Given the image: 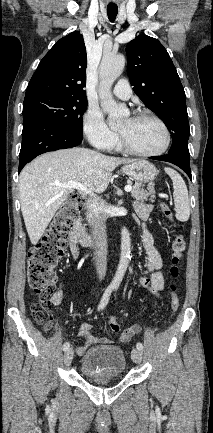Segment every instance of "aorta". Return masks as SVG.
<instances>
[{
  "label": "aorta",
  "mask_w": 213,
  "mask_h": 433,
  "mask_svg": "<svg viewBox=\"0 0 213 433\" xmlns=\"http://www.w3.org/2000/svg\"><path fill=\"white\" fill-rule=\"evenodd\" d=\"M125 66L123 55H107L102 58L100 72V103L104 112L108 114L109 125L115 127L126 114V109L118 105L111 94L114 81L121 75ZM131 255V240L128 230H121V254L117 271L111 282V287L118 288L127 270Z\"/></svg>",
  "instance_id": "1"
}]
</instances>
